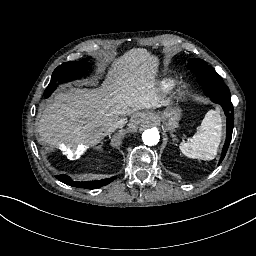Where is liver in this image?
<instances>
[{
	"instance_id": "obj_1",
	"label": "liver",
	"mask_w": 256,
	"mask_h": 256,
	"mask_svg": "<svg viewBox=\"0 0 256 256\" xmlns=\"http://www.w3.org/2000/svg\"><path fill=\"white\" fill-rule=\"evenodd\" d=\"M158 66V58L146 49L127 51L115 60L101 87H72L67 93L56 94L40 116L39 135L53 146L91 147L114 132L109 128L121 119L126 120V116L133 114L129 127L134 128L135 118L145 117L135 112L169 104L156 87Z\"/></svg>"
}]
</instances>
